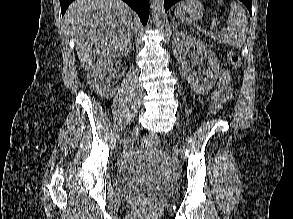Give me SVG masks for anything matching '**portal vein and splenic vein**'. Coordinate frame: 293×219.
Wrapping results in <instances>:
<instances>
[{"label":"portal vein and splenic vein","instance_id":"obj_1","mask_svg":"<svg viewBox=\"0 0 293 219\" xmlns=\"http://www.w3.org/2000/svg\"><path fill=\"white\" fill-rule=\"evenodd\" d=\"M220 22H212L211 28L215 29L217 25H219Z\"/></svg>","mask_w":293,"mask_h":219}]
</instances>
